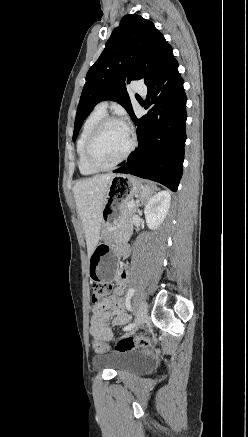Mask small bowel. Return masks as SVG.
I'll use <instances>...</instances> for the list:
<instances>
[{"label": "small bowel", "instance_id": "c3829d8e", "mask_svg": "<svg viewBox=\"0 0 248 437\" xmlns=\"http://www.w3.org/2000/svg\"><path fill=\"white\" fill-rule=\"evenodd\" d=\"M128 277L129 270L123 268L114 294L94 306L89 327V333L93 338L110 341L113 338V327L122 326L128 321V315L123 311L124 287Z\"/></svg>", "mask_w": 248, "mask_h": 437}]
</instances>
